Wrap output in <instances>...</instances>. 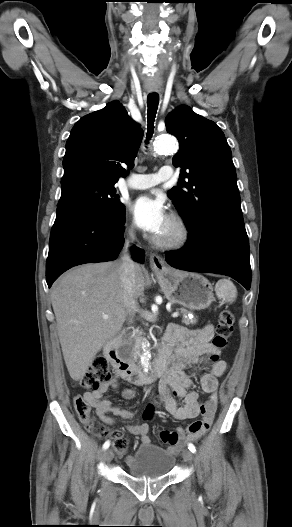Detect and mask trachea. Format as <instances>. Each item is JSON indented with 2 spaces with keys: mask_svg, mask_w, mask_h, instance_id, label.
<instances>
[{
  "mask_svg": "<svg viewBox=\"0 0 292 527\" xmlns=\"http://www.w3.org/2000/svg\"><path fill=\"white\" fill-rule=\"evenodd\" d=\"M158 104H159V96H158V94L157 93H150V94H148V97H147V106H148V110H147V121H148L147 139H150L152 137V134H153L154 121H155V117H156V113H157V109H158Z\"/></svg>",
  "mask_w": 292,
  "mask_h": 527,
  "instance_id": "3493384b",
  "label": "trachea"
}]
</instances>
